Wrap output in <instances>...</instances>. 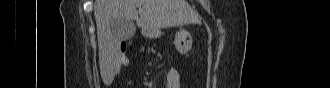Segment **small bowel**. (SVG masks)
Listing matches in <instances>:
<instances>
[{"mask_svg": "<svg viewBox=\"0 0 330 88\" xmlns=\"http://www.w3.org/2000/svg\"><path fill=\"white\" fill-rule=\"evenodd\" d=\"M125 64L126 60L124 56L119 59V64ZM180 87V74L176 69H171L166 75V88H179Z\"/></svg>", "mask_w": 330, "mask_h": 88, "instance_id": "c3829d8e", "label": "small bowel"}]
</instances>
